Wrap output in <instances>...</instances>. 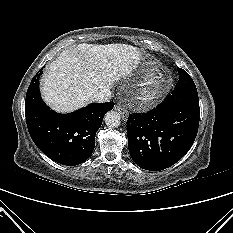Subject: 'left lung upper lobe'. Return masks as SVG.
Listing matches in <instances>:
<instances>
[{"mask_svg":"<svg viewBox=\"0 0 233 233\" xmlns=\"http://www.w3.org/2000/svg\"><path fill=\"white\" fill-rule=\"evenodd\" d=\"M178 74L179 81L172 91V95L178 98H184L190 95H198L194 81L186 73V71L178 68Z\"/></svg>","mask_w":233,"mask_h":233,"instance_id":"left-lung-upper-lobe-1","label":"left lung upper lobe"}]
</instances>
